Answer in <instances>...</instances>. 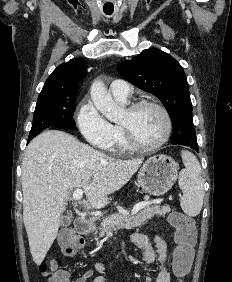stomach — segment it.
<instances>
[{
    "instance_id": "obj_1",
    "label": "stomach",
    "mask_w": 232,
    "mask_h": 282,
    "mask_svg": "<svg viewBox=\"0 0 232 282\" xmlns=\"http://www.w3.org/2000/svg\"><path fill=\"white\" fill-rule=\"evenodd\" d=\"M178 178V164L169 156L154 155L138 171L139 186L148 194L160 196L167 193Z\"/></svg>"
}]
</instances>
